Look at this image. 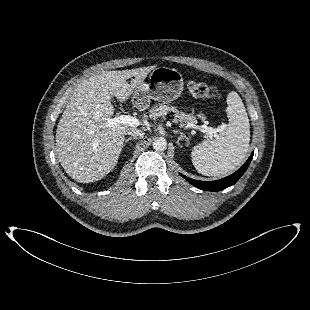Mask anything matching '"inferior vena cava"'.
<instances>
[{
	"label": "inferior vena cava",
	"instance_id": "602c4592",
	"mask_svg": "<svg viewBox=\"0 0 310 310\" xmlns=\"http://www.w3.org/2000/svg\"><path fill=\"white\" fill-rule=\"evenodd\" d=\"M126 134H128V135H131V136H138V137H140V138H142L143 136H144V132L143 131H141V130H139V129H131V130H128L127 132H126Z\"/></svg>",
	"mask_w": 310,
	"mask_h": 310
}]
</instances>
